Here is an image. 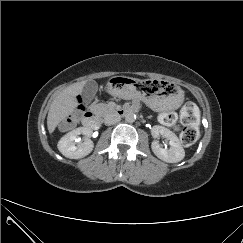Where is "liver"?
Returning <instances> with one entry per match:
<instances>
[{"mask_svg":"<svg viewBox=\"0 0 243 243\" xmlns=\"http://www.w3.org/2000/svg\"><path fill=\"white\" fill-rule=\"evenodd\" d=\"M85 84L86 81L74 83L65 88L53 100L47 116V128L49 133H53L59 123L73 113L78 105L76 96L82 92Z\"/></svg>","mask_w":243,"mask_h":243,"instance_id":"1","label":"liver"}]
</instances>
